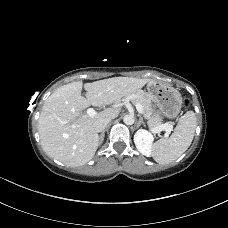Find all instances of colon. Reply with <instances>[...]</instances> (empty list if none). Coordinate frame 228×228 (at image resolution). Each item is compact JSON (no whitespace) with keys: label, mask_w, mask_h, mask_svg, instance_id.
Masks as SVG:
<instances>
[{"label":"colon","mask_w":228,"mask_h":228,"mask_svg":"<svg viewBox=\"0 0 228 228\" xmlns=\"http://www.w3.org/2000/svg\"><path fill=\"white\" fill-rule=\"evenodd\" d=\"M183 105H184V107H188L189 100L187 98H184Z\"/></svg>","instance_id":"obj_1"}]
</instances>
